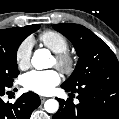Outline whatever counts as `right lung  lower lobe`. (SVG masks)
I'll use <instances>...</instances> for the list:
<instances>
[{
    "label": "right lung lower lobe",
    "mask_w": 119,
    "mask_h": 119,
    "mask_svg": "<svg viewBox=\"0 0 119 119\" xmlns=\"http://www.w3.org/2000/svg\"><path fill=\"white\" fill-rule=\"evenodd\" d=\"M11 86L0 85V119H29L33 110L41 103L39 96L33 92H27L14 104L5 103L2 97L7 87Z\"/></svg>",
    "instance_id": "obj_1"
}]
</instances>
